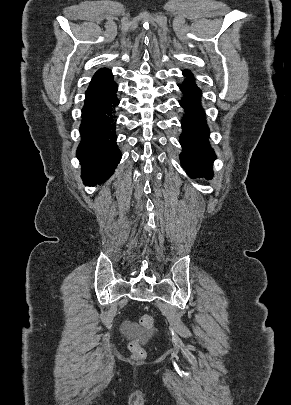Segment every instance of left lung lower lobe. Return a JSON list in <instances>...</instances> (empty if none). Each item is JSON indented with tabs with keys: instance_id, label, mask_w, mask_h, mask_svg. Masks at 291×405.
Here are the masks:
<instances>
[{
	"instance_id": "0a47b994",
	"label": "left lung lower lobe",
	"mask_w": 291,
	"mask_h": 405,
	"mask_svg": "<svg viewBox=\"0 0 291 405\" xmlns=\"http://www.w3.org/2000/svg\"><path fill=\"white\" fill-rule=\"evenodd\" d=\"M183 75H188V79L178 85L184 93L182 100L179 101L184 108V117L181 120L184 132L180 137L181 164L192 178L199 176L211 178L212 164L216 156L206 141L208 133L200 103L201 90L194 83L191 71L184 70Z\"/></svg>"
}]
</instances>
